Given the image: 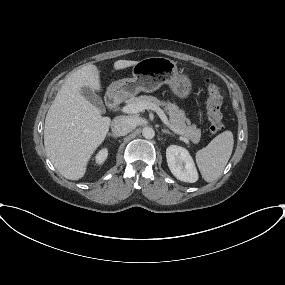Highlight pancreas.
Instances as JSON below:
<instances>
[{"instance_id":"pancreas-1","label":"pancreas","mask_w":285,"mask_h":285,"mask_svg":"<svg viewBox=\"0 0 285 285\" xmlns=\"http://www.w3.org/2000/svg\"><path fill=\"white\" fill-rule=\"evenodd\" d=\"M126 103H144L145 105L154 104L156 106L164 107L169 115L171 125L177 129L185 139L191 140L197 144L201 137V130L196 125H190V120L186 118L185 111L180 109L175 103L169 101H161L157 97L150 95H142L139 97H131Z\"/></svg>"}]
</instances>
